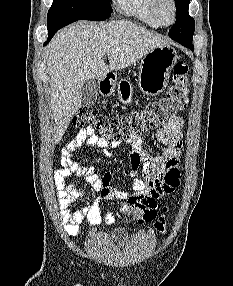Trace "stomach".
Returning <instances> with one entry per match:
<instances>
[{
  "label": "stomach",
  "mask_w": 233,
  "mask_h": 286,
  "mask_svg": "<svg viewBox=\"0 0 233 286\" xmlns=\"http://www.w3.org/2000/svg\"><path fill=\"white\" fill-rule=\"evenodd\" d=\"M178 55L170 45L156 47L145 55L140 62L138 87L147 95H157L167 86L170 73L176 64ZM122 99L128 102L130 91H121Z\"/></svg>",
  "instance_id": "obj_1"
}]
</instances>
